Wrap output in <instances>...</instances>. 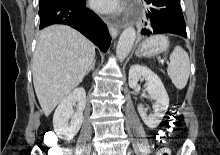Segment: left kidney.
<instances>
[{
	"label": "left kidney",
	"instance_id": "obj_1",
	"mask_svg": "<svg viewBox=\"0 0 220 155\" xmlns=\"http://www.w3.org/2000/svg\"><path fill=\"white\" fill-rule=\"evenodd\" d=\"M146 80V90L151 98L155 101L153 105V114L147 115L146 110L140 104L138 112L149 128L154 129L160 123L169 106V97L160 78L148 67L135 64L129 70V87L132 89L139 88L138 81Z\"/></svg>",
	"mask_w": 220,
	"mask_h": 155
}]
</instances>
